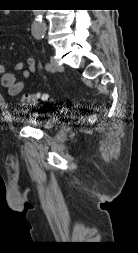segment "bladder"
<instances>
[{"label": "bladder", "instance_id": "obj_1", "mask_svg": "<svg viewBox=\"0 0 138 253\" xmlns=\"http://www.w3.org/2000/svg\"><path fill=\"white\" fill-rule=\"evenodd\" d=\"M26 122L32 128L40 129L43 131H50L58 126L59 118L48 117L45 119H36L35 117H31L28 118Z\"/></svg>", "mask_w": 138, "mask_h": 253}]
</instances>
